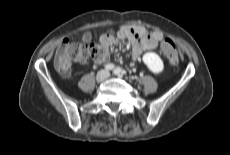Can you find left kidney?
Instances as JSON below:
<instances>
[{
    "label": "left kidney",
    "mask_w": 230,
    "mask_h": 155,
    "mask_svg": "<svg viewBox=\"0 0 230 155\" xmlns=\"http://www.w3.org/2000/svg\"><path fill=\"white\" fill-rule=\"evenodd\" d=\"M142 60L148 69L155 74L161 73L164 69L162 59L154 52L145 53L142 57Z\"/></svg>",
    "instance_id": "1"
}]
</instances>
